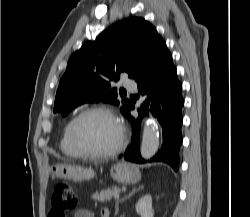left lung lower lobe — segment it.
Returning a JSON list of instances; mask_svg holds the SVG:
<instances>
[{"mask_svg":"<svg viewBox=\"0 0 250 217\" xmlns=\"http://www.w3.org/2000/svg\"><path fill=\"white\" fill-rule=\"evenodd\" d=\"M134 80L138 83V91L144 97L142 107L138 109L139 117L131 116L134 106L130 104L125 117L132 125L133 142L126 150L124 158L128 161L143 163L140 155L141 119L148 112L158 119L163 129V144L151 161L168 163L174 170L179 167V148L182 144L181 125L183 122L181 109L184 105L182 84L177 78V71L172 62V55L162 40L150 65Z\"/></svg>","mask_w":250,"mask_h":217,"instance_id":"obj_1","label":"left lung lower lobe"}]
</instances>
